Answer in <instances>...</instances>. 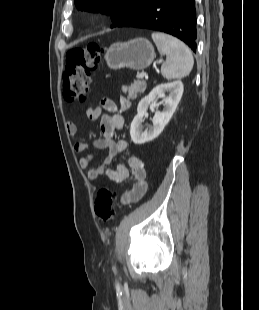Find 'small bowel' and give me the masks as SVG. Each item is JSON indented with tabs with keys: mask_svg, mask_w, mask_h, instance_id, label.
<instances>
[{
	"mask_svg": "<svg viewBox=\"0 0 259 310\" xmlns=\"http://www.w3.org/2000/svg\"><path fill=\"white\" fill-rule=\"evenodd\" d=\"M129 108V100L122 97L119 100V105L114 100L105 98L97 106L89 107L86 110L88 119L100 120L102 138L94 140L91 145L95 149L107 150L108 155L99 165H91L93 161L92 154L83 156L79 161V167L82 170H87V178L90 181H95L106 175L109 179L119 184L131 182L132 189L121 198V203L124 205L138 202L145 196L148 189L144 163L138 156H130L127 166L118 164L115 168L111 167L114 156L127 148L125 140L115 142L113 137L117 130H121L124 127V118L121 113ZM66 132L71 137L75 136L78 132V125L73 121H68L66 123ZM87 147L88 144L82 141L74 143V151L76 153H83Z\"/></svg>",
	"mask_w": 259,
	"mask_h": 310,
	"instance_id": "c3829d8e",
	"label": "small bowel"
}]
</instances>
